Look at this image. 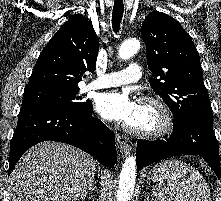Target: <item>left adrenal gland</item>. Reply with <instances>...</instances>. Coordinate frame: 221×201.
<instances>
[{"mask_svg":"<svg viewBox=\"0 0 221 201\" xmlns=\"http://www.w3.org/2000/svg\"><path fill=\"white\" fill-rule=\"evenodd\" d=\"M151 197H152V195H151V194H148L147 201H149V200L154 201L153 199H151Z\"/></svg>","mask_w":221,"mask_h":201,"instance_id":"a2214340","label":"left adrenal gland"}]
</instances>
